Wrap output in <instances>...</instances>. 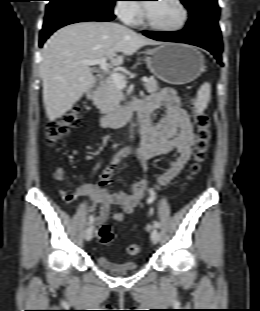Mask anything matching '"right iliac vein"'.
<instances>
[{"mask_svg":"<svg viewBox=\"0 0 260 311\" xmlns=\"http://www.w3.org/2000/svg\"><path fill=\"white\" fill-rule=\"evenodd\" d=\"M93 237V227L90 226L85 231V240L90 241Z\"/></svg>","mask_w":260,"mask_h":311,"instance_id":"1","label":"right iliac vein"}]
</instances>
